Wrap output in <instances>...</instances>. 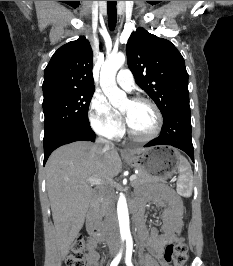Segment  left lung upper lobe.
<instances>
[{"label": "left lung upper lobe", "instance_id": "5c2ea615", "mask_svg": "<svg viewBox=\"0 0 233 266\" xmlns=\"http://www.w3.org/2000/svg\"><path fill=\"white\" fill-rule=\"evenodd\" d=\"M126 53L137 84L154 100L163 117L189 102L185 62L170 41L138 28L127 42Z\"/></svg>", "mask_w": 233, "mask_h": 266}]
</instances>
